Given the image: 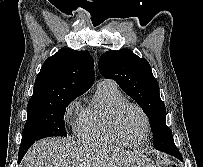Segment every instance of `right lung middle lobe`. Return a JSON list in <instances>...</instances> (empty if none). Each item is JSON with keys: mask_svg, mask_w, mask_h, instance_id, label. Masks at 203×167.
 <instances>
[{"mask_svg": "<svg viewBox=\"0 0 203 167\" xmlns=\"http://www.w3.org/2000/svg\"><path fill=\"white\" fill-rule=\"evenodd\" d=\"M76 97L57 99L49 103L27 106V120L22 135V144L33 143L52 136H67L64 129L66 107Z\"/></svg>", "mask_w": 203, "mask_h": 167, "instance_id": "right-lung-middle-lobe-1", "label": "right lung middle lobe"}]
</instances>
